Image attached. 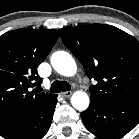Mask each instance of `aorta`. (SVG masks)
Masks as SVG:
<instances>
[{"label": "aorta", "mask_w": 139, "mask_h": 139, "mask_svg": "<svg viewBox=\"0 0 139 139\" xmlns=\"http://www.w3.org/2000/svg\"><path fill=\"white\" fill-rule=\"evenodd\" d=\"M51 65L55 71L66 77L75 75L77 71L75 60L65 51H57L53 53L51 56ZM89 103V97L83 91H76L71 96L72 106L79 111H85L88 108Z\"/></svg>", "instance_id": "aorta-1"}]
</instances>
